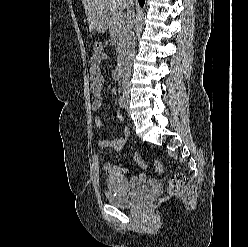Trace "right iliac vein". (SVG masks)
Masks as SVG:
<instances>
[{"label":"right iliac vein","instance_id":"1","mask_svg":"<svg viewBox=\"0 0 248 247\" xmlns=\"http://www.w3.org/2000/svg\"><path fill=\"white\" fill-rule=\"evenodd\" d=\"M124 101H125V102H128V101H129V99H128L127 96L124 97Z\"/></svg>","mask_w":248,"mask_h":247}]
</instances>
